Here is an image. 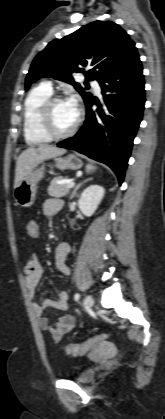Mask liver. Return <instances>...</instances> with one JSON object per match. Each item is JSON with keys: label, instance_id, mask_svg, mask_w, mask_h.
Listing matches in <instances>:
<instances>
[{"label": "liver", "instance_id": "6515ba94", "mask_svg": "<svg viewBox=\"0 0 165 419\" xmlns=\"http://www.w3.org/2000/svg\"><path fill=\"white\" fill-rule=\"evenodd\" d=\"M66 153L64 148L43 144L38 147H29L18 157L15 170L14 188L44 160L63 155Z\"/></svg>", "mask_w": 165, "mask_h": 419}]
</instances>
